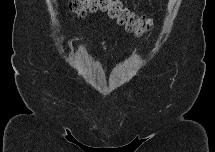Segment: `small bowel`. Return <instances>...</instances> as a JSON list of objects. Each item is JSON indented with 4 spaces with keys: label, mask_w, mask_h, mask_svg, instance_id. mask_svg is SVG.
<instances>
[{
    "label": "small bowel",
    "mask_w": 215,
    "mask_h": 152,
    "mask_svg": "<svg viewBox=\"0 0 215 152\" xmlns=\"http://www.w3.org/2000/svg\"><path fill=\"white\" fill-rule=\"evenodd\" d=\"M100 45L102 46L103 49H107V43L105 40H101Z\"/></svg>",
    "instance_id": "obj_1"
}]
</instances>
